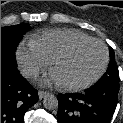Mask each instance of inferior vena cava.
<instances>
[{
    "label": "inferior vena cava",
    "mask_w": 123,
    "mask_h": 123,
    "mask_svg": "<svg viewBox=\"0 0 123 123\" xmlns=\"http://www.w3.org/2000/svg\"><path fill=\"white\" fill-rule=\"evenodd\" d=\"M39 72L36 69H24L22 71V75L26 78H30V77H36L38 76Z\"/></svg>",
    "instance_id": "obj_1"
}]
</instances>
